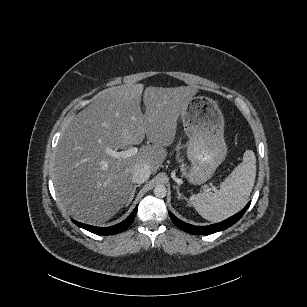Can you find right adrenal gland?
I'll return each mask as SVG.
<instances>
[{
	"mask_svg": "<svg viewBox=\"0 0 307 307\" xmlns=\"http://www.w3.org/2000/svg\"><path fill=\"white\" fill-rule=\"evenodd\" d=\"M140 186H141V184H136V185H134V186L131 188V192H130V194H129L128 201H127V204H125V207L128 206V205L132 202V200L134 199V195H135V192H136V188H137V187H140Z\"/></svg>",
	"mask_w": 307,
	"mask_h": 307,
	"instance_id": "right-adrenal-gland-1",
	"label": "right adrenal gland"
}]
</instances>
